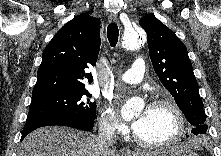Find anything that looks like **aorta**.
Instances as JSON below:
<instances>
[{"label": "aorta", "instance_id": "1", "mask_svg": "<svg viewBox=\"0 0 221 156\" xmlns=\"http://www.w3.org/2000/svg\"><path fill=\"white\" fill-rule=\"evenodd\" d=\"M144 33L131 29L124 32L122 36V46L129 50H134L140 47L144 42ZM142 108V102L133 98L129 99L122 107L121 114L125 119H131L134 116L135 111Z\"/></svg>", "mask_w": 221, "mask_h": 156}]
</instances>
